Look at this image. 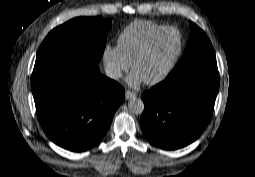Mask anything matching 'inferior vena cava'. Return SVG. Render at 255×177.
<instances>
[{
	"instance_id": "602c4592",
	"label": "inferior vena cava",
	"mask_w": 255,
	"mask_h": 177,
	"mask_svg": "<svg viewBox=\"0 0 255 177\" xmlns=\"http://www.w3.org/2000/svg\"><path fill=\"white\" fill-rule=\"evenodd\" d=\"M105 74L107 77L114 79V80H117L120 77H122V73L120 70L115 69V68H110V67L105 68Z\"/></svg>"
}]
</instances>
